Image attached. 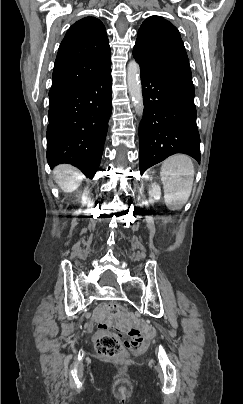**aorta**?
<instances>
[{"label": "aorta", "instance_id": "762f6f07", "mask_svg": "<svg viewBox=\"0 0 243 404\" xmlns=\"http://www.w3.org/2000/svg\"><path fill=\"white\" fill-rule=\"evenodd\" d=\"M139 66L136 64L135 60L129 62L127 68V84L130 94V98L133 102L136 114L142 116L144 110L143 96L141 82L139 80Z\"/></svg>", "mask_w": 243, "mask_h": 404}]
</instances>
